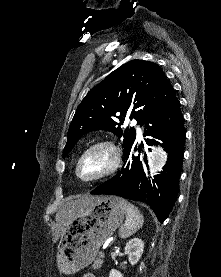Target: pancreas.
Returning a JSON list of instances; mask_svg holds the SVG:
<instances>
[{
  "label": "pancreas",
  "instance_id": "obj_1",
  "mask_svg": "<svg viewBox=\"0 0 221 277\" xmlns=\"http://www.w3.org/2000/svg\"><path fill=\"white\" fill-rule=\"evenodd\" d=\"M102 264H103V256L99 255L98 258L94 260L91 268L93 270H98L99 268H101Z\"/></svg>",
  "mask_w": 221,
  "mask_h": 277
}]
</instances>
